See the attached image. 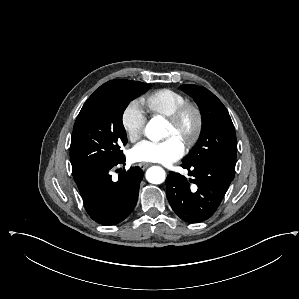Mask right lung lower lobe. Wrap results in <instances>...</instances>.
<instances>
[{"mask_svg": "<svg viewBox=\"0 0 299 299\" xmlns=\"http://www.w3.org/2000/svg\"><path fill=\"white\" fill-rule=\"evenodd\" d=\"M125 162L123 155L115 163L95 170L77 183L84 207L89 216L102 225H114L123 221L134 209L143 172L139 167L121 170L114 182L111 170ZM118 171V170H117Z\"/></svg>", "mask_w": 299, "mask_h": 299, "instance_id": "98d812e1", "label": "right lung lower lobe"}]
</instances>
